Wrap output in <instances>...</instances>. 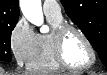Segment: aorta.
I'll return each mask as SVG.
<instances>
[{"label":"aorta","mask_w":107,"mask_h":75,"mask_svg":"<svg viewBox=\"0 0 107 75\" xmlns=\"http://www.w3.org/2000/svg\"><path fill=\"white\" fill-rule=\"evenodd\" d=\"M20 7L25 18L44 31L41 0H20Z\"/></svg>","instance_id":"1"}]
</instances>
